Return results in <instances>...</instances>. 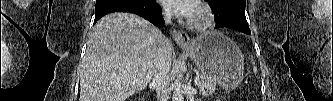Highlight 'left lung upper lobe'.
<instances>
[{
	"label": "left lung upper lobe",
	"instance_id": "5c2ea615",
	"mask_svg": "<svg viewBox=\"0 0 333 101\" xmlns=\"http://www.w3.org/2000/svg\"><path fill=\"white\" fill-rule=\"evenodd\" d=\"M222 12H229L231 14V18L232 19L235 18V17L245 18L244 9H234L233 6H232V4H230V2H228V1L223 6Z\"/></svg>",
	"mask_w": 333,
	"mask_h": 101
}]
</instances>
